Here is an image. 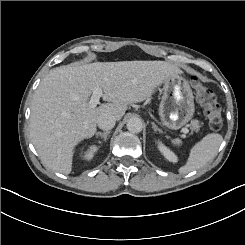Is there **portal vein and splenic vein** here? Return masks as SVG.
I'll list each match as a JSON object with an SVG mask.
<instances>
[{
  "mask_svg": "<svg viewBox=\"0 0 245 245\" xmlns=\"http://www.w3.org/2000/svg\"><path fill=\"white\" fill-rule=\"evenodd\" d=\"M100 96H102V88L100 86H97L96 89L93 91V95L91 97V100L88 103V107L90 109L96 108ZM71 117H73V115ZM181 133H183V134L188 133V129L186 127L182 128Z\"/></svg>",
  "mask_w": 245,
  "mask_h": 245,
  "instance_id": "1",
  "label": "portal vein and splenic vein"
}]
</instances>
